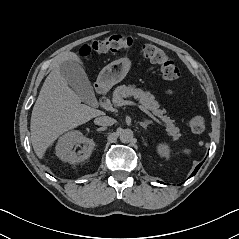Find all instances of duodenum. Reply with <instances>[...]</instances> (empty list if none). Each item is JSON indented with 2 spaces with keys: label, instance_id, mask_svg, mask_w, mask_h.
I'll list each match as a JSON object with an SVG mask.
<instances>
[{
  "label": "duodenum",
  "instance_id": "410a0bca",
  "mask_svg": "<svg viewBox=\"0 0 239 239\" xmlns=\"http://www.w3.org/2000/svg\"><path fill=\"white\" fill-rule=\"evenodd\" d=\"M104 92H105V88L101 84H97L95 86V93H96L97 96L103 95Z\"/></svg>",
  "mask_w": 239,
  "mask_h": 239
}]
</instances>
